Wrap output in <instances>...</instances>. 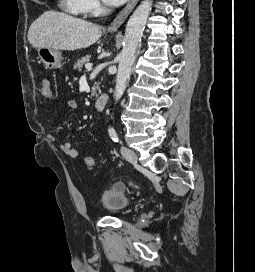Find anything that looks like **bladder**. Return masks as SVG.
Segmentation results:
<instances>
[{
	"label": "bladder",
	"mask_w": 255,
	"mask_h": 272,
	"mask_svg": "<svg viewBox=\"0 0 255 272\" xmlns=\"http://www.w3.org/2000/svg\"><path fill=\"white\" fill-rule=\"evenodd\" d=\"M129 198L123 189L107 188L100 195L101 207L112 213L119 214L129 206Z\"/></svg>",
	"instance_id": "bladder-1"
}]
</instances>
